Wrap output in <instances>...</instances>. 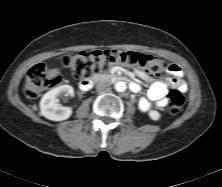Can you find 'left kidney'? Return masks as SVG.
Listing matches in <instances>:
<instances>
[{
    "mask_svg": "<svg viewBox=\"0 0 222 187\" xmlns=\"http://www.w3.org/2000/svg\"><path fill=\"white\" fill-rule=\"evenodd\" d=\"M149 116L154 121H158L160 119V113L156 110H151L149 112Z\"/></svg>",
    "mask_w": 222,
    "mask_h": 187,
    "instance_id": "obj_1",
    "label": "left kidney"
}]
</instances>
